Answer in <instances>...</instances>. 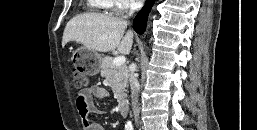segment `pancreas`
Here are the masks:
<instances>
[{
	"label": "pancreas",
	"instance_id": "obj_1",
	"mask_svg": "<svg viewBox=\"0 0 257 130\" xmlns=\"http://www.w3.org/2000/svg\"><path fill=\"white\" fill-rule=\"evenodd\" d=\"M112 57H105L101 63V76L109 83L114 93V97L121 101L126 97L128 86V69L125 64L121 66L113 65Z\"/></svg>",
	"mask_w": 257,
	"mask_h": 130
}]
</instances>
